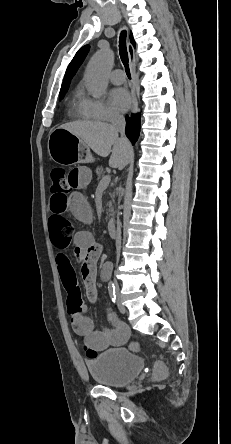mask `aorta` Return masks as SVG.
Returning a JSON list of instances; mask_svg holds the SVG:
<instances>
[{"label":"aorta","mask_w":231,"mask_h":444,"mask_svg":"<svg viewBox=\"0 0 231 444\" xmlns=\"http://www.w3.org/2000/svg\"><path fill=\"white\" fill-rule=\"evenodd\" d=\"M113 63V55L108 50L96 53L90 60L85 81L88 90L95 98H100L108 85L107 72Z\"/></svg>","instance_id":"aorta-1"}]
</instances>
